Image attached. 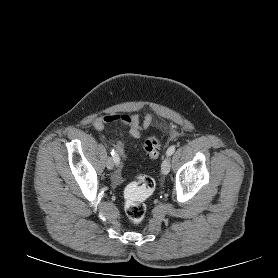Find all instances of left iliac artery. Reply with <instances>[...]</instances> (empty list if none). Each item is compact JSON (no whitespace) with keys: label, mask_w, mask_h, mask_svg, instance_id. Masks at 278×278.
<instances>
[{"label":"left iliac artery","mask_w":278,"mask_h":278,"mask_svg":"<svg viewBox=\"0 0 278 278\" xmlns=\"http://www.w3.org/2000/svg\"><path fill=\"white\" fill-rule=\"evenodd\" d=\"M175 149V145L170 146L167 150V156H171L175 152Z\"/></svg>","instance_id":"left-iliac-artery-1"}]
</instances>
